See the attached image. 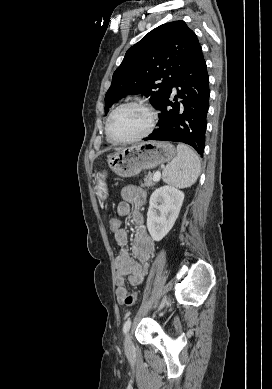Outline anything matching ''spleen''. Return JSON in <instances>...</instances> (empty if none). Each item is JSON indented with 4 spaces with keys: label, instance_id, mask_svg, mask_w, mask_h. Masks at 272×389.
<instances>
[{
    "label": "spleen",
    "instance_id": "1",
    "mask_svg": "<svg viewBox=\"0 0 272 389\" xmlns=\"http://www.w3.org/2000/svg\"><path fill=\"white\" fill-rule=\"evenodd\" d=\"M200 169L198 155L189 146L178 144L177 156L163 170L162 179L175 187H190L197 181Z\"/></svg>",
    "mask_w": 272,
    "mask_h": 389
}]
</instances>
